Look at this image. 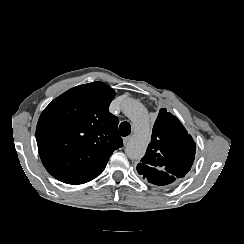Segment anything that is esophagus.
<instances>
[{
	"instance_id": "1",
	"label": "esophagus",
	"mask_w": 244,
	"mask_h": 244,
	"mask_svg": "<svg viewBox=\"0 0 244 244\" xmlns=\"http://www.w3.org/2000/svg\"><path fill=\"white\" fill-rule=\"evenodd\" d=\"M130 140H131V136L124 137V138H123L124 146H127L128 143L130 142Z\"/></svg>"
}]
</instances>
